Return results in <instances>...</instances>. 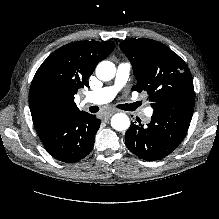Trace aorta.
<instances>
[{"label": "aorta", "mask_w": 219, "mask_h": 219, "mask_svg": "<svg viewBox=\"0 0 219 219\" xmlns=\"http://www.w3.org/2000/svg\"><path fill=\"white\" fill-rule=\"evenodd\" d=\"M115 74L116 67L111 61H101L96 67V76L102 81H110ZM111 126L116 131H125L130 127V119L124 113H117L111 118Z\"/></svg>", "instance_id": "aorta-1"}]
</instances>
